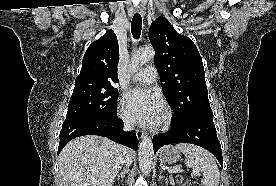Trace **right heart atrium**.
<instances>
[{
  "mask_svg": "<svg viewBox=\"0 0 276 186\" xmlns=\"http://www.w3.org/2000/svg\"><path fill=\"white\" fill-rule=\"evenodd\" d=\"M119 118L121 119V121L123 122V124L126 127H131L132 126V120L130 119V117L127 115L125 109H124V102L121 101L119 104V112H118Z\"/></svg>",
  "mask_w": 276,
  "mask_h": 186,
  "instance_id": "1",
  "label": "right heart atrium"
}]
</instances>
